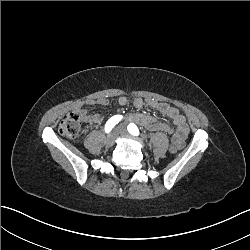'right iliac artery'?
Here are the masks:
<instances>
[{
    "label": "right iliac artery",
    "instance_id": "obj_1",
    "mask_svg": "<svg viewBox=\"0 0 250 250\" xmlns=\"http://www.w3.org/2000/svg\"><path fill=\"white\" fill-rule=\"evenodd\" d=\"M121 119H122L121 115H115L111 117L105 124V132L109 133Z\"/></svg>",
    "mask_w": 250,
    "mask_h": 250
}]
</instances>
